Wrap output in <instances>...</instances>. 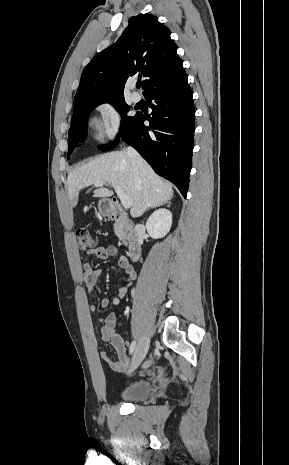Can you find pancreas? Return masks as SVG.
<instances>
[{
    "mask_svg": "<svg viewBox=\"0 0 289 465\" xmlns=\"http://www.w3.org/2000/svg\"><path fill=\"white\" fill-rule=\"evenodd\" d=\"M114 232L116 234V236L119 238V240H122L124 242V244H126V234L123 230V227L121 226V224L119 222H116L114 224Z\"/></svg>",
    "mask_w": 289,
    "mask_h": 465,
    "instance_id": "obj_1",
    "label": "pancreas"
}]
</instances>
